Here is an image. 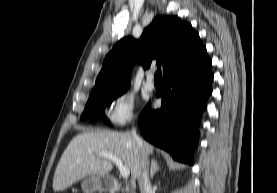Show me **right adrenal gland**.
Masks as SVG:
<instances>
[{
  "label": "right adrenal gland",
  "instance_id": "right-adrenal-gland-1",
  "mask_svg": "<svg viewBox=\"0 0 277 193\" xmlns=\"http://www.w3.org/2000/svg\"><path fill=\"white\" fill-rule=\"evenodd\" d=\"M159 164L155 159L151 160V167H150V179H153L154 174L159 171Z\"/></svg>",
  "mask_w": 277,
  "mask_h": 193
}]
</instances>
